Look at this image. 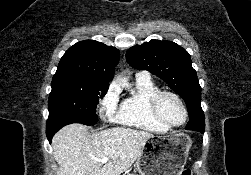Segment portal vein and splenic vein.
<instances>
[{
  "label": "portal vein and splenic vein",
  "mask_w": 251,
  "mask_h": 175,
  "mask_svg": "<svg viewBox=\"0 0 251 175\" xmlns=\"http://www.w3.org/2000/svg\"><path fill=\"white\" fill-rule=\"evenodd\" d=\"M100 161H102V163H106V161H109V157H102Z\"/></svg>",
  "instance_id": "1"
}]
</instances>
